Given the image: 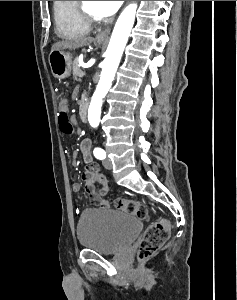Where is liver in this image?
<instances>
[{"instance_id":"liver-1","label":"liver","mask_w":237,"mask_h":300,"mask_svg":"<svg viewBox=\"0 0 237 300\" xmlns=\"http://www.w3.org/2000/svg\"><path fill=\"white\" fill-rule=\"evenodd\" d=\"M94 41L93 37H82L79 41H58L55 43L53 47H51V51H63V49H79V47H86L89 43Z\"/></svg>"}]
</instances>
